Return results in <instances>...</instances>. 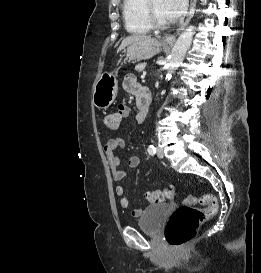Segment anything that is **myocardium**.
Listing matches in <instances>:
<instances>
[{"instance_id": "1", "label": "myocardium", "mask_w": 261, "mask_h": 273, "mask_svg": "<svg viewBox=\"0 0 261 273\" xmlns=\"http://www.w3.org/2000/svg\"><path fill=\"white\" fill-rule=\"evenodd\" d=\"M146 16L154 29H166L169 26V23L161 21L155 13L153 8V0H146L145 3Z\"/></svg>"}]
</instances>
